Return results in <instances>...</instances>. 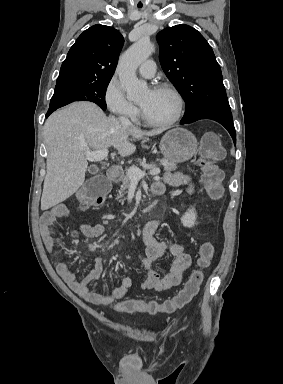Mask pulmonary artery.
Listing matches in <instances>:
<instances>
[{
  "label": "pulmonary artery",
  "instance_id": "1",
  "mask_svg": "<svg viewBox=\"0 0 283 384\" xmlns=\"http://www.w3.org/2000/svg\"><path fill=\"white\" fill-rule=\"evenodd\" d=\"M156 67L151 61H144L138 67V73L146 78L154 76Z\"/></svg>",
  "mask_w": 283,
  "mask_h": 384
}]
</instances>
